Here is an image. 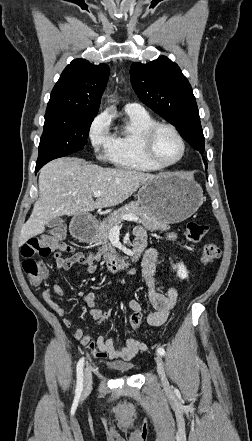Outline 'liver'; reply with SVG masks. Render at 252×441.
Returning a JSON list of instances; mask_svg holds the SVG:
<instances>
[{
  "label": "liver",
  "mask_w": 252,
  "mask_h": 441,
  "mask_svg": "<svg viewBox=\"0 0 252 441\" xmlns=\"http://www.w3.org/2000/svg\"><path fill=\"white\" fill-rule=\"evenodd\" d=\"M154 177L135 170L86 164L73 157L47 163L40 170L39 199L21 229L19 246L43 233L51 219L119 205ZM96 191H101L102 195L94 199Z\"/></svg>",
  "instance_id": "obj_1"
}]
</instances>
